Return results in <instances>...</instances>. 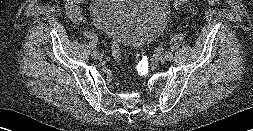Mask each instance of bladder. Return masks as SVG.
<instances>
[{
    "label": "bladder",
    "mask_w": 253,
    "mask_h": 131,
    "mask_svg": "<svg viewBox=\"0 0 253 131\" xmlns=\"http://www.w3.org/2000/svg\"><path fill=\"white\" fill-rule=\"evenodd\" d=\"M90 12L115 44L133 47L155 39L170 10L166 0H92Z\"/></svg>",
    "instance_id": "bladder-1"
}]
</instances>
